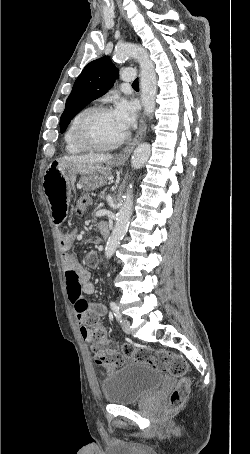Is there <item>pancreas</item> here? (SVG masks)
Masks as SVG:
<instances>
[{"instance_id":"cf45deb5","label":"pancreas","mask_w":250,"mask_h":454,"mask_svg":"<svg viewBox=\"0 0 250 454\" xmlns=\"http://www.w3.org/2000/svg\"><path fill=\"white\" fill-rule=\"evenodd\" d=\"M104 195H105V190H103L101 193H100V198H104Z\"/></svg>"}]
</instances>
